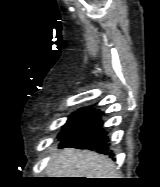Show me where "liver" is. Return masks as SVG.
<instances>
[{
  "label": "liver",
  "mask_w": 160,
  "mask_h": 187,
  "mask_svg": "<svg viewBox=\"0 0 160 187\" xmlns=\"http://www.w3.org/2000/svg\"><path fill=\"white\" fill-rule=\"evenodd\" d=\"M46 173L49 178H116L114 162L88 150L66 148L54 154Z\"/></svg>",
  "instance_id": "6515ba94"
}]
</instances>
